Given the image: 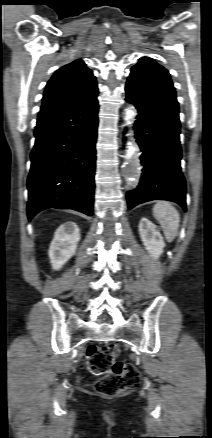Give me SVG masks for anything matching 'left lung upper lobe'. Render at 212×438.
<instances>
[{"label": "left lung upper lobe", "mask_w": 212, "mask_h": 438, "mask_svg": "<svg viewBox=\"0 0 212 438\" xmlns=\"http://www.w3.org/2000/svg\"><path fill=\"white\" fill-rule=\"evenodd\" d=\"M127 82H134L176 98L175 88L168 71L148 57L140 58L139 62L132 67Z\"/></svg>", "instance_id": "left-lung-upper-lobe-1"}]
</instances>
